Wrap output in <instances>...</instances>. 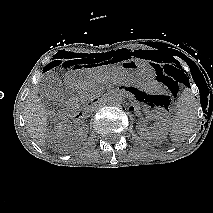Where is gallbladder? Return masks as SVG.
Here are the masks:
<instances>
[{
    "label": "gallbladder",
    "instance_id": "gallbladder-1",
    "mask_svg": "<svg viewBox=\"0 0 213 213\" xmlns=\"http://www.w3.org/2000/svg\"><path fill=\"white\" fill-rule=\"evenodd\" d=\"M40 96L53 106H62L65 94L60 76L55 71L46 73L38 83Z\"/></svg>",
    "mask_w": 213,
    "mask_h": 213
}]
</instances>
